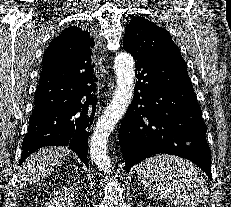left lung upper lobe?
<instances>
[{
    "instance_id": "left-lung-upper-lobe-1",
    "label": "left lung upper lobe",
    "mask_w": 231,
    "mask_h": 207,
    "mask_svg": "<svg viewBox=\"0 0 231 207\" xmlns=\"http://www.w3.org/2000/svg\"><path fill=\"white\" fill-rule=\"evenodd\" d=\"M123 48L134 57L145 55L166 62L184 61L169 32L142 16L134 17L126 26Z\"/></svg>"
}]
</instances>
